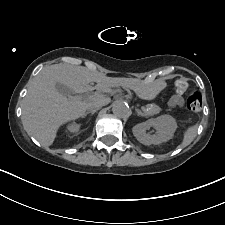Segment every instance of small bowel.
I'll return each mask as SVG.
<instances>
[{"label":"small bowel","instance_id":"obj_1","mask_svg":"<svg viewBox=\"0 0 225 225\" xmlns=\"http://www.w3.org/2000/svg\"><path fill=\"white\" fill-rule=\"evenodd\" d=\"M170 105L172 107H182L183 106V99L182 97L180 96H173L171 99H170Z\"/></svg>","mask_w":225,"mask_h":225}]
</instances>
